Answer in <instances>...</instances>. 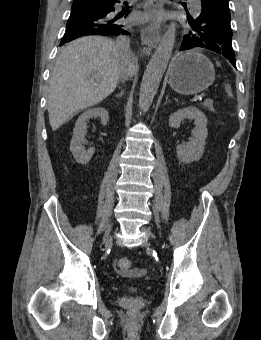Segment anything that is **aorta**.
Listing matches in <instances>:
<instances>
[{
    "instance_id": "1",
    "label": "aorta",
    "mask_w": 261,
    "mask_h": 340,
    "mask_svg": "<svg viewBox=\"0 0 261 340\" xmlns=\"http://www.w3.org/2000/svg\"><path fill=\"white\" fill-rule=\"evenodd\" d=\"M177 6V5H176ZM176 37V24L171 22L150 59L141 82L139 107L147 111L152 104L167 68Z\"/></svg>"
}]
</instances>
